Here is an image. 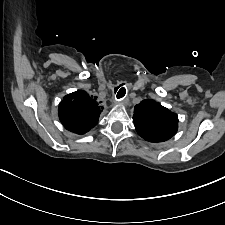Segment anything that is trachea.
Wrapping results in <instances>:
<instances>
[{"instance_id": "trachea-1", "label": "trachea", "mask_w": 225, "mask_h": 225, "mask_svg": "<svg viewBox=\"0 0 225 225\" xmlns=\"http://www.w3.org/2000/svg\"><path fill=\"white\" fill-rule=\"evenodd\" d=\"M118 88L115 89V92H117ZM125 94H126V89H125V87H123V85H121V87L117 93V98L118 99L123 98L125 96Z\"/></svg>"}]
</instances>
